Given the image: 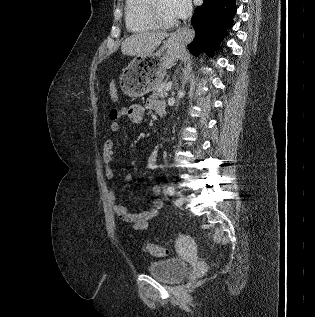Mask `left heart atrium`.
Segmentation results:
<instances>
[{
  "label": "left heart atrium",
  "instance_id": "1",
  "mask_svg": "<svg viewBox=\"0 0 315 317\" xmlns=\"http://www.w3.org/2000/svg\"><path fill=\"white\" fill-rule=\"evenodd\" d=\"M168 2L169 7L176 18H182L190 11V0H168Z\"/></svg>",
  "mask_w": 315,
  "mask_h": 317
}]
</instances>
